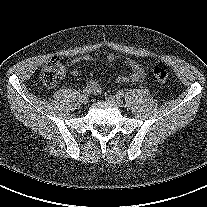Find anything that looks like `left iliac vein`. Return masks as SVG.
Returning a JSON list of instances; mask_svg holds the SVG:
<instances>
[{"mask_svg":"<svg viewBox=\"0 0 207 207\" xmlns=\"http://www.w3.org/2000/svg\"><path fill=\"white\" fill-rule=\"evenodd\" d=\"M108 101L113 103L116 106H122L123 105V100L115 95H111L108 97Z\"/></svg>","mask_w":207,"mask_h":207,"instance_id":"1","label":"left iliac vein"}]
</instances>
